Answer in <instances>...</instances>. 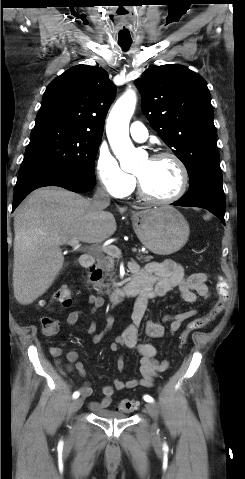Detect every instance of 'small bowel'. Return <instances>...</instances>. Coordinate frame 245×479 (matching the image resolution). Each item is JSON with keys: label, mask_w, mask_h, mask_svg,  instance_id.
Returning a JSON list of instances; mask_svg holds the SVG:
<instances>
[{"label": "small bowel", "mask_w": 245, "mask_h": 479, "mask_svg": "<svg viewBox=\"0 0 245 479\" xmlns=\"http://www.w3.org/2000/svg\"><path fill=\"white\" fill-rule=\"evenodd\" d=\"M129 268L131 272L140 279L142 289L134 303L130 324L114 339L110 344V349L112 351H118L121 347H124L136 351L140 355V377L127 381L114 379L112 384L103 386L102 399L89 403V408L96 413L110 407L113 395L116 391L134 389L139 386L151 388L154 385L155 379L169 368V362L167 360H160L158 358V350L153 342L154 339L164 335L165 329L163 325L152 320H147L145 322V331L149 340L145 342L138 340V330L144 321L149 301L166 295L174 288H178L180 298L189 304L197 302L199 298L210 296V289L207 285L208 275L206 273L186 274L182 266L174 261H152L143 267L132 262ZM88 301L94 311L104 305V299L99 295H90ZM196 313L197 310L190 309L173 316H168L166 320L170 321V332H177L184 322L195 316ZM81 316L82 311L74 310L69 313L66 322L69 326H73L78 322ZM112 323V317L108 316L107 325L101 333H96V326L92 324L89 327L92 340L94 342H100L111 330ZM49 354L55 359L57 369L62 375L76 372L80 377L86 378L87 371L82 362L79 361L76 351L72 350L66 353L67 363H64L61 359L62 349L60 347L51 346L49 348ZM116 366L119 372L124 371L125 361L122 355L117 358ZM80 392L83 397H89L92 394L90 384L85 383L80 387Z\"/></svg>", "instance_id": "1"}]
</instances>
